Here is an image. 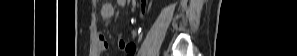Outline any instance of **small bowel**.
<instances>
[{"mask_svg": "<svg viewBox=\"0 0 297 56\" xmlns=\"http://www.w3.org/2000/svg\"><path fill=\"white\" fill-rule=\"evenodd\" d=\"M117 3H118L119 6H125L126 3H127V0H117ZM113 15H114L113 6L110 5V4H104L103 7H102V16L104 18L109 19V18L113 17ZM107 47H108V43H107V40H106L105 36L104 35H99L98 44H97V52L99 54H102L103 52L106 51ZM119 47L121 49L126 50V52L128 54H132L134 52V45L127 44L123 40L119 41Z\"/></svg>", "mask_w": 297, "mask_h": 56, "instance_id": "1", "label": "small bowel"}]
</instances>
